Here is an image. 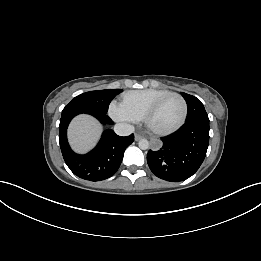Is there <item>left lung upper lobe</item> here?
Here are the masks:
<instances>
[{"label": "left lung upper lobe", "mask_w": 261, "mask_h": 261, "mask_svg": "<svg viewBox=\"0 0 261 261\" xmlns=\"http://www.w3.org/2000/svg\"><path fill=\"white\" fill-rule=\"evenodd\" d=\"M182 96L186 100L188 106V115L186 122L201 117H208L203 104L198 98L186 93H182Z\"/></svg>", "instance_id": "obj_1"}]
</instances>
